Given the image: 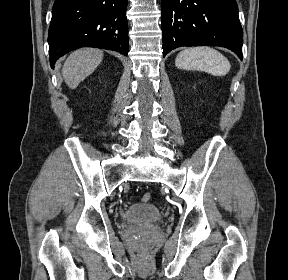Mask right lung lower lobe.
I'll list each match as a JSON object with an SVG mask.
<instances>
[{
  "label": "right lung lower lobe",
  "mask_w": 288,
  "mask_h": 280,
  "mask_svg": "<svg viewBox=\"0 0 288 280\" xmlns=\"http://www.w3.org/2000/svg\"><path fill=\"white\" fill-rule=\"evenodd\" d=\"M128 0H55L48 32L50 64L64 54L97 47L127 55Z\"/></svg>",
  "instance_id": "right-lung-lower-lobe-1"
}]
</instances>
